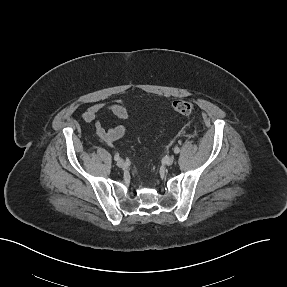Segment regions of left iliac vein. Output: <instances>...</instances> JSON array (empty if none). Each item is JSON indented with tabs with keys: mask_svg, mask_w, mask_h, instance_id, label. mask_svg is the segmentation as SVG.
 Wrapping results in <instances>:
<instances>
[{
	"mask_svg": "<svg viewBox=\"0 0 287 287\" xmlns=\"http://www.w3.org/2000/svg\"><path fill=\"white\" fill-rule=\"evenodd\" d=\"M174 162V156H170L167 160H166V165L170 166L172 165Z\"/></svg>",
	"mask_w": 287,
	"mask_h": 287,
	"instance_id": "left-iliac-vein-1",
	"label": "left iliac vein"
}]
</instances>
